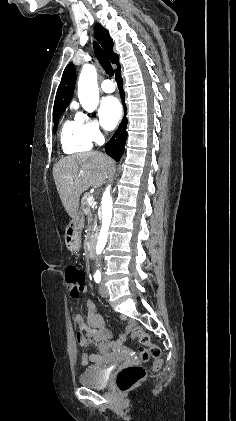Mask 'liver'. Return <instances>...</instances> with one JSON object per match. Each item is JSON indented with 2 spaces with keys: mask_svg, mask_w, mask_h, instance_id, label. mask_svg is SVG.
<instances>
[{
  "mask_svg": "<svg viewBox=\"0 0 236 421\" xmlns=\"http://www.w3.org/2000/svg\"><path fill=\"white\" fill-rule=\"evenodd\" d=\"M114 170V160L102 152H82L64 156L53 166V176L69 217L78 213L79 198L89 186L98 188ZM72 178V180H71Z\"/></svg>",
  "mask_w": 236,
  "mask_h": 421,
  "instance_id": "liver-1",
  "label": "liver"
}]
</instances>
